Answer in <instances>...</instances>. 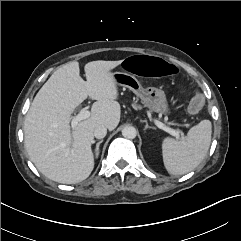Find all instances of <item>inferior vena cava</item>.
Here are the masks:
<instances>
[{
  "label": "inferior vena cava",
  "instance_id": "1",
  "mask_svg": "<svg viewBox=\"0 0 241 241\" xmlns=\"http://www.w3.org/2000/svg\"><path fill=\"white\" fill-rule=\"evenodd\" d=\"M107 134V128L103 125H99L95 128L94 130V136L97 138V139H102L106 136Z\"/></svg>",
  "mask_w": 241,
  "mask_h": 241
}]
</instances>
